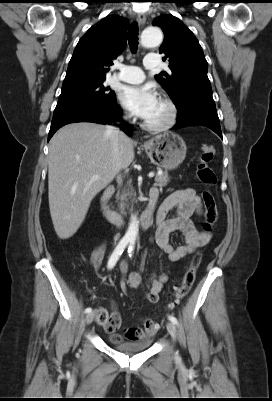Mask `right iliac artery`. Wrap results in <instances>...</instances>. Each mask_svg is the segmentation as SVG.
<instances>
[{
    "label": "right iliac artery",
    "instance_id": "right-iliac-artery-1",
    "mask_svg": "<svg viewBox=\"0 0 272 401\" xmlns=\"http://www.w3.org/2000/svg\"><path fill=\"white\" fill-rule=\"evenodd\" d=\"M129 241L130 240L127 238L121 239V241L119 242V244L113 251V253L108 261V265H107L108 269H112L115 266V264L117 263L118 259L121 256V254L123 253L124 249L128 245ZM91 312H92V309L90 307L85 309V313H91Z\"/></svg>",
    "mask_w": 272,
    "mask_h": 401
}]
</instances>
